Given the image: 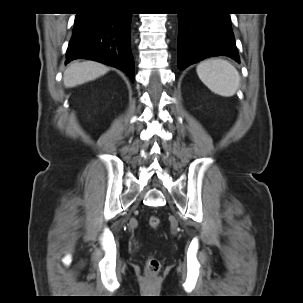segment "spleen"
Segmentation results:
<instances>
[{
  "label": "spleen",
  "mask_w": 303,
  "mask_h": 303,
  "mask_svg": "<svg viewBox=\"0 0 303 303\" xmlns=\"http://www.w3.org/2000/svg\"><path fill=\"white\" fill-rule=\"evenodd\" d=\"M200 80L215 94L222 97L233 96L240 85L237 69L223 59H207L196 68Z\"/></svg>",
  "instance_id": "obj_1"
}]
</instances>
